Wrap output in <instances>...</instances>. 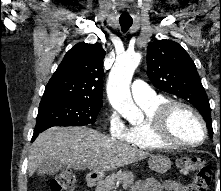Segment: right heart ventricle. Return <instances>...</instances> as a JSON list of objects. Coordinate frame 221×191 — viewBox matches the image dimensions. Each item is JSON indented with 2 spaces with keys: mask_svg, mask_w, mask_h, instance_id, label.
Returning a JSON list of instances; mask_svg holds the SVG:
<instances>
[{
  "mask_svg": "<svg viewBox=\"0 0 221 191\" xmlns=\"http://www.w3.org/2000/svg\"><path fill=\"white\" fill-rule=\"evenodd\" d=\"M167 100L162 96H157L150 102L139 103L146 114L145 120L140 124L132 125L128 128V137L125 140L128 144L143 150L158 149L163 146L153 136V117L159 105Z\"/></svg>",
  "mask_w": 221,
  "mask_h": 191,
  "instance_id": "right-heart-ventricle-1",
  "label": "right heart ventricle"
}]
</instances>
